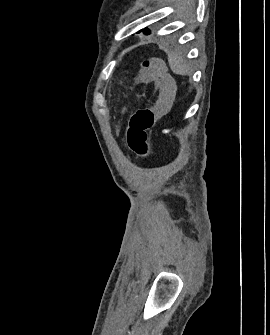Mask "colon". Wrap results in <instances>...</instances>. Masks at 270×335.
Returning a JSON list of instances; mask_svg holds the SVG:
<instances>
[{
    "mask_svg": "<svg viewBox=\"0 0 270 335\" xmlns=\"http://www.w3.org/2000/svg\"><path fill=\"white\" fill-rule=\"evenodd\" d=\"M166 63L161 57H150L139 66L137 80L160 89L153 106L139 108L128 119L125 140L129 150L138 158H144L149 151V131L156 125V119L168 115L167 109H175L174 72H164ZM156 109V110H155Z\"/></svg>",
    "mask_w": 270,
    "mask_h": 335,
    "instance_id": "colon-1",
    "label": "colon"
}]
</instances>
